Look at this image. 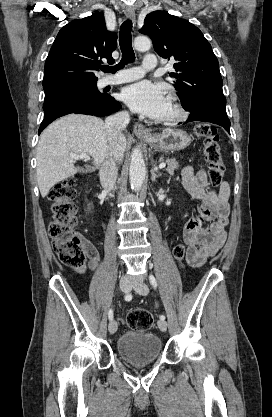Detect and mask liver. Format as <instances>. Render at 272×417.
Segmentation results:
<instances>
[{
    "label": "liver",
    "mask_w": 272,
    "mask_h": 417,
    "mask_svg": "<svg viewBox=\"0 0 272 417\" xmlns=\"http://www.w3.org/2000/svg\"><path fill=\"white\" fill-rule=\"evenodd\" d=\"M126 137L121 134L114 142L102 119L71 114L49 125L41 134L37 146V182L41 196L50 189L77 173L70 153H85L93 157V167L100 166L106 157L121 162L126 150Z\"/></svg>",
    "instance_id": "liver-1"
}]
</instances>
